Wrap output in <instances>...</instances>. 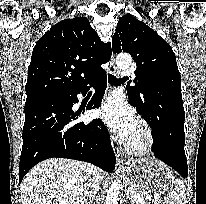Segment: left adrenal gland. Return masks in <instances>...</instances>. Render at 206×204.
Masks as SVG:
<instances>
[{"mask_svg":"<svg viewBox=\"0 0 206 204\" xmlns=\"http://www.w3.org/2000/svg\"><path fill=\"white\" fill-rule=\"evenodd\" d=\"M125 195H126V196H124L125 199H129V200H131V197L129 196L128 191H126V194H125ZM131 202H132V200H131Z\"/></svg>","mask_w":206,"mask_h":204,"instance_id":"obj_1","label":"left adrenal gland"}]
</instances>
